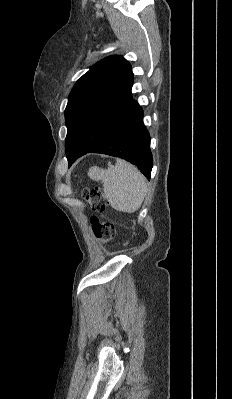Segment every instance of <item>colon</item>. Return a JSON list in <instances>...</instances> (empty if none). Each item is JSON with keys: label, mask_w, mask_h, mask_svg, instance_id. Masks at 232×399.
<instances>
[{"label": "colon", "mask_w": 232, "mask_h": 399, "mask_svg": "<svg viewBox=\"0 0 232 399\" xmlns=\"http://www.w3.org/2000/svg\"><path fill=\"white\" fill-rule=\"evenodd\" d=\"M80 195L86 196V209L93 208L94 214H99V211L107 214V201H111V196H107L106 192L102 193L101 186L97 187V191H91V184H86V191H81ZM94 196H97V203H94ZM89 221L96 239H101V235L103 240L107 239V235L117 236L118 225L112 223L111 217H106V221H100V223L97 222V217H90Z\"/></svg>", "instance_id": "5ec220e1"}]
</instances>
